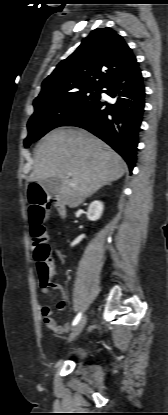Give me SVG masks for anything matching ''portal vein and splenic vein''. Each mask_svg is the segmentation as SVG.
<instances>
[{
    "mask_svg": "<svg viewBox=\"0 0 168 415\" xmlns=\"http://www.w3.org/2000/svg\"><path fill=\"white\" fill-rule=\"evenodd\" d=\"M69 175H71V173H69ZM72 186H75L74 184H72Z\"/></svg>",
    "mask_w": 168,
    "mask_h": 415,
    "instance_id": "1",
    "label": "portal vein and splenic vein"
}]
</instances>
